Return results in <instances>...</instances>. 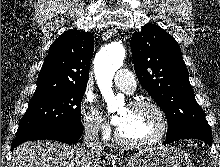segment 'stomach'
<instances>
[{
	"mask_svg": "<svg viewBox=\"0 0 220 167\" xmlns=\"http://www.w3.org/2000/svg\"><path fill=\"white\" fill-rule=\"evenodd\" d=\"M127 167H192L189 156L172 146L146 148L135 153Z\"/></svg>",
	"mask_w": 220,
	"mask_h": 167,
	"instance_id": "stomach-1",
	"label": "stomach"
}]
</instances>
